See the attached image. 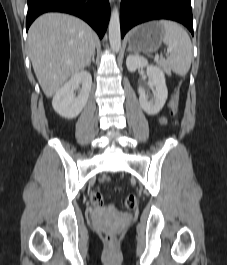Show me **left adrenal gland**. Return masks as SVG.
Returning a JSON list of instances; mask_svg holds the SVG:
<instances>
[{
    "label": "left adrenal gland",
    "instance_id": "left-adrenal-gland-1",
    "mask_svg": "<svg viewBox=\"0 0 227 265\" xmlns=\"http://www.w3.org/2000/svg\"><path fill=\"white\" fill-rule=\"evenodd\" d=\"M127 51H131V48L129 47V48L127 49Z\"/></svg>",
    "mask_w": 227,
    "mask_h": 265
}]
</instances>
